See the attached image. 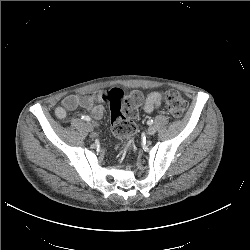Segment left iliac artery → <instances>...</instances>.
Masks as SVG:
<instances>
[{
    "label": "left iliac artery",
    "mask_w": 250,
    "mask_h": 250,
    "mask_svg": "<svg viewBox=\"0 0 250 250\" xmlns=\"http://www.w3.org/2000/svg\"><path fill=\"white\" fill-rule=\"evenodd\" d=\"M149 125H152L153 124V120L151 119V120H148V122H147Z\"/></svg>",
    "instance_id": "left-iliac-artery-1"
}]
</instances>
